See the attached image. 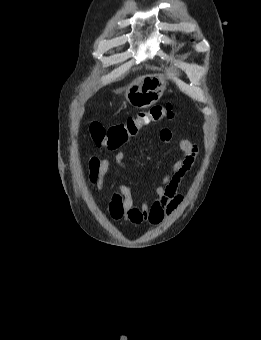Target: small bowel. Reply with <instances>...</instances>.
<instances>
[{
    "mask_svg": "<svg viewBox=\"0 0 261 340\" xmlns=\"http://www.w3.org/2000/svg\"><path fill=\"white\" fill-rule=\"evenodd\" d=\"M159 138L164 143H170L172 132L168 128H162ZM179 147L182 155L175 161L171 171L163 176L160 183L154 188L155 199L153 202H143L137 205L131 189L127 185H120L113 192L107 206V212L113 220L135 226L143 223L155 226L182 202L183 197L178 190L195 164L198 148L189 140H181ZM126 158L127 155L124 151L117 152L113 158L91 156L87 161L90 187L97 192H102L105 186V176L110 167L115 164L119 168L125 169Z\"/></svg>",
    "mask_w": 261,
    "mask_h": 340,
    "instance_id": "small-bowel-1",
    "label": "small bowel"
}]
</instances>
